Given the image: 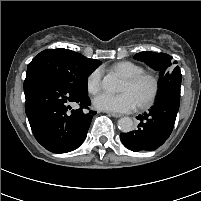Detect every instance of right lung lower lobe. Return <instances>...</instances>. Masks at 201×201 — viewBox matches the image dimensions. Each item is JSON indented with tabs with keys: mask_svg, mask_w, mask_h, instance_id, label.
Returning a JSON list of instances; mask_svg holds the SVG:
<instances>
[{
	"mask_svg": "<svg viewBox=\"0 0 201 201\" xmlns=\"http://www.w3.org/2000/svg\"><path fill=\"white\" fill-rule=\"evenodd\" d=\"M25 111L36 140L47 150L66 153L78 148L87 136L94 111L87 96L76 94L66 83L44 71L26 75ZM72 104L80 106L71 110Z\"/></svg>",
	"mask_w": 201,
	"mask_h": 201,
	"instance_id": "98d812e1",
	"label": "right lung lower lobe"
}]
</instances>
